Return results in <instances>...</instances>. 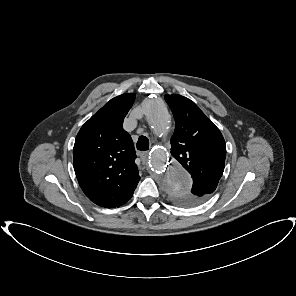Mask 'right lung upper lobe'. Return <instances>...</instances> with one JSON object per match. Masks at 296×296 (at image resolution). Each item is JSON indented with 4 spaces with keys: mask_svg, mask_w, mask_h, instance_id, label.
I'll use <instances>...</instances> for the list:
<instances>
[{
    "mask_svg": "<svg viewBox=\"0 0 296 296\" xmlns=\"http://www.w3.org/2000/svg\"><path fill=\"white\" fill-rule=\"evenodd\" d=\"M135 94L107 102L80 129L74 148V170L85 195L95 204L114 208L125 204L140 180L131 136L123 127Z\"/></svg>",
    "mask_w": 296,
    "mask_h": 296,
    "instance_id": "1",
    "label": "right lung upper lobe"
}]
</instances>
